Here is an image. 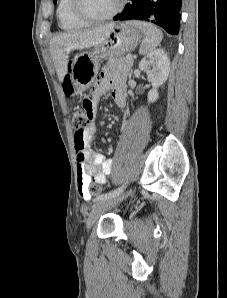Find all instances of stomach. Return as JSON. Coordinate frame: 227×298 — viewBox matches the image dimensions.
Wrapping results in <instances>:
<instances>
[{
  "label": "stomach",
  "mask_w": 227,
  "mask_h": 298,
  "mask_svg": "<svg viewBox=\"0 0 227 298\" xmlns=\"http://www.w3.org/2000/svg\"><path fill=\"white\" fill-rule=\"evenodd\" d=\"M141 35L129 22L118 23L109 36L99 45L78 54L70 66V79L76 87V94L83 93L91 86L103 59L119 57L133 51Z\"/></svg>",
  "instance_id": "obj_1"
}]
</instances>
